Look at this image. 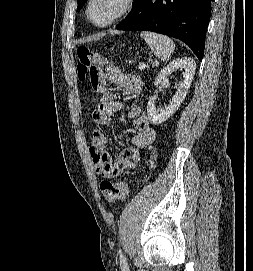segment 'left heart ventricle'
I'll list each match as a JSON object with an SVG mask.
<instances>
[{
    "label": "left heart ventricle",
    "mask_w": 253,
    "mask_h": 271,
    "mask_svg": "<svg viewBox=\"0 0 253 271\" xmlns=\"http://www.w3.org/2000/svg\"><path fill=\"white\" fill-rule=\"evenodd\" d=\"M124 0H94L91 16L97 23H105L114 17L123 7Z\"/></svg>",
    "instance_id": "left-heart-ventricle-1"
}]
</instances>
